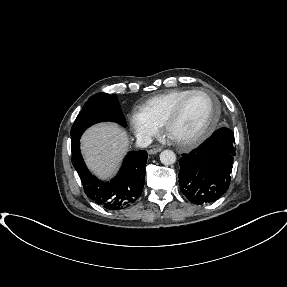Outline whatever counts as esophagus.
Instances as JSON below:
<instances>
[{
    "label": "esophagus",
    "mask_w": 287,
    "mask_h": 287,
    "mask_svg": "<svg viewBox=\"0 0 287 287\" xmlns=\"http://www.w3.org/2000/svg\"><path fill=\"white\" fill-rule=\"evenodd\" d=\"M162 150L161 147H154V148H151L148 152L149 154H156L158 152H160Z\"/></svg>",
    "instance_id": "esophagus-1"
}]
</instances>
